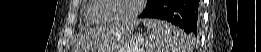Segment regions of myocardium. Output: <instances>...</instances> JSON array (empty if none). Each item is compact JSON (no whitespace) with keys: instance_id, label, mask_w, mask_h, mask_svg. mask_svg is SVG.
Segmentation results:
<instances>
[{"instance_id":"f54148a6","label":"myocardium","mask_w":261,"mask_h":52,"mask_svg":"<svg viewBox=\"0 0 261 52\" xmlns=\"http://www.w3.org/2000/svg\"><path fill=\"white\" fill-rule=\"evenodd\" d=\"M102 8L100 10V16L109 24H126L133 22L142 12L144 7V0H137L136 8L133 10L131 14L122 19H110L107 18V12L111 7V3L109 0H101Z\"/></svg>"}]
</instances>
